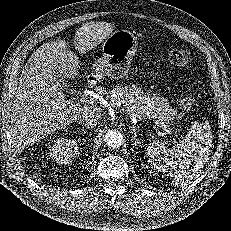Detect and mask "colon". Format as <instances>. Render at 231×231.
Masks as SVG:
<instances>
[{
    "mask_svg": "<svg viewBox=\"0 0 231 231\" xmlns=\"http://www.w3.org/2000/svg\"><path fill=\"white\" fill-rule=\"evenodd\" d=\"M169 61L177 67H185L190 63L191 54L189 51L181 48H169L166 50ZM193 94L189 90L181 93L180 105L183 109L189 110L193 104Z\"/></svg>",
    "mask_w": 231,
    "mask_h": 231,
    "instance_id": "5ec220e1",
    "label": "colon"
}]
</instances>
